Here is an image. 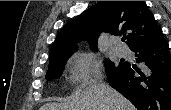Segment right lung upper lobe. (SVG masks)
Wrapping results in <instances>:
<instances>
[{
  "label": "right lung upper lobe",
  "instance_id": "obj_1",
  "mask_svg": "<svg viewBox=\"0 0 171 110\" xmlns=\"http://www.w3.org/2000/svg\"><path fill=\"white\" fill-rule=\"evenodd\" d=\"M101 31L115 35L127 32L130 49L162 35L161 27L144 1H101L61 29L51 48L50 60L71 55L77 49L76 43L82 40H88L95 50Z\"/></svg>",
  "mask_w": 171,
  "mask_h": 110
}]
</instances>
